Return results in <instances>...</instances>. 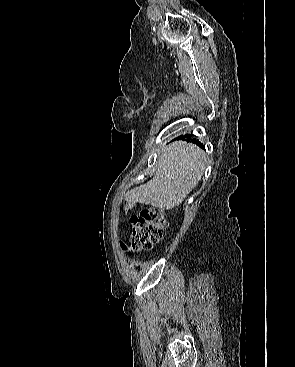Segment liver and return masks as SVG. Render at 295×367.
<instances>
[{
  "label": "liver",
  "mask_w": 295,
  "mask_h": 367,
  "mask_svg": "<svg viewBox=\"0 0 295 367\" xmlns=\"http://www.w3.org/2000/svg\"><path fill=\"white\" fill-rule=\"evenodd\" d=\"M206 162L207 156L199 147L183 141L173 142L161 151L153 179L129 191L127 201L161 210L173 209L197 186Z\"/></svg>",
  "instance_id": "6515ba94"
}]
</instances>
